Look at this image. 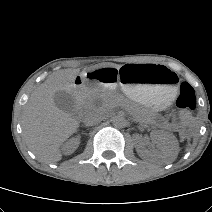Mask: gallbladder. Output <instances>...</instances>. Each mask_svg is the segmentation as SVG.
<instances>
[{"label": "gallbladder", "mask_w": 212, "mask_h": 212, "mask_svg": "<svg viewBox=\"0 0 212 212\" xmlns=\"http://www.w3.org/2000/svg\"><path fill=\"white\" fill-rule=\"evenodd\" d=\"M56 106L63 112L71 114L74 111L75 99L71 93L58 91L54 94Z\"/></svg>", "instance_id": "gallbladder-1"}]
</instances>
